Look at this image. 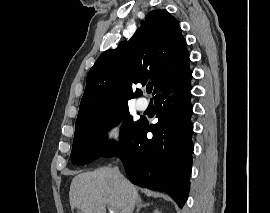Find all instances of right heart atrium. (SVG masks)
<instances>
[{"label": "right heart atrium", "mask_w": 270, "mask_h": 213, "mask_svg": "<svg viewBox=\"0 0 270 213\" xmlns=\"http://www.w3.org/2000/svg\"><path fill=\"white\" fill-rule=\"evenodd\" d=\"M100 137L106 144L116 147L121 139V126L117 121H110L103 125Z\"/></svg>", "instance_id": "obj_1"}]
</instances>
